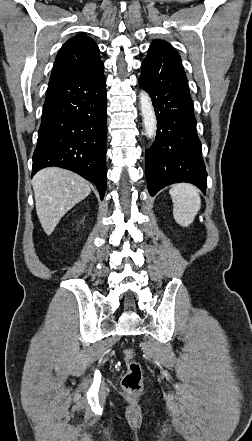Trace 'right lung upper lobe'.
Returning a JSON list of instances; mask_svg holds the SVG:
<instances>
[{
    "label": "right lung upper lobe",
    "mask_w": 252,
    "mask_h": 441,
    "mask_svg": "<svg viewBox=\"0 0 252 441\" xmlns=\"http://www.w3.org/2000/svg\"><path fill=\"white\" fill-rule=\"evenodd\" d=\"M103 64L99 48L84 33L69 39L59 50L49 84L86 72Z\"/></svg>",
    "instance_id": "1"
}]
</instances>
